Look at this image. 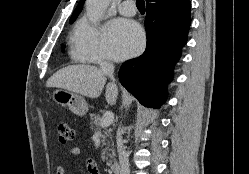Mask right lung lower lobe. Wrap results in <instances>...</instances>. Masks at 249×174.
Segmentation results:
<instances>
[{"label": "right lung lower lobe", "instance_id": "98d812e1", "mask_svg": "<svg viewBox=\"0 0 249 174\" xmlns=\"http://www.w3.org/2000/svg\"><path fill=\"white\" fill-rule=\"evenodd\" d=\"M190 10L189 0L146 7V50L119 70L121 84L145 106L159 107L167 97L173 67L187 42Z\"/></svg>", "mask_w": 249, "mask_h": 174}]
</instances>
